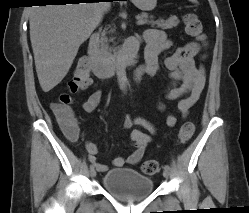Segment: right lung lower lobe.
I'll list each match as a JSON object with an SVG mask.
<instances>
[{"label": "right lung lower lobe", "mask_w": 249, "mask_h": 213, "mask_svg": "<svg viewBox=\"0 0 249 213\" xmlns=\"http://www.w3.org/2000/svg\"><path fill=\"white\" fill-rule=\"evenodd\" d=\"M42 3H54V4H66V3H78L83 0H43ZM105 1H113V0H105ZM93 3V2H92Z\"/></svg>", "instance_id": "1"}]
</instances>
